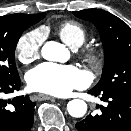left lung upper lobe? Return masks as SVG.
I'll return each instance as SVG.
<instances>
[{
    "instance_id": "left-lung-upper-lobe-1",
    "label": "left lung upper lobe",
    "mask_w": 131,
    "mask_h": 131,
    "mask_svg": "<svg viewBox=\"0 0 131 131\" xmlns=\"http://www.w3.org/2000/svg\"><path fill=\"white\" fill-rule=\"evenodd\" d=\"M73 14L93 23L103 42L104 68L100 81L92 89L131 93V28L101 9L74 11Z\"/></svg>"
}]
</instances>
